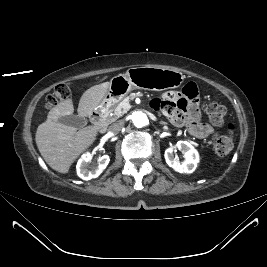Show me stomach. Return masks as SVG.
Returning <instances> with one entry per match:
<instances>
[{
	"instance_id": "stomach-1",
	"label": "stomach",
	"mask_w": 267,
	"mask_h": 267,
	"mask_svg": "<svg viewBox=\"0 0 267 267\" xmlns=\"http://www.w3.org/2000/svg\"><path fill=\"white\" fill-rule=\"evenodd\" d=\"M184 78L181 72L171 69L150 66L129 68L125 74L111 79L108 90L96 109L109 110L134 89L162 91L178 88Z\"/></svg>"
}]
</instances>
